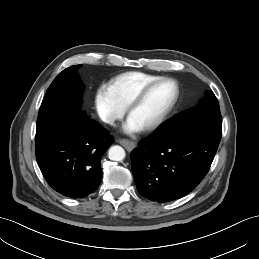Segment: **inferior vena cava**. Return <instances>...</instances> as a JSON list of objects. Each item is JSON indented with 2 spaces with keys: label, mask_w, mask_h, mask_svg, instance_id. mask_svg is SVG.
<instances>
[{
  "label": "inferior vena cava",
  "mask_w": 259,
  "mask_h": 259,
  "mask_svg": "<svg viewBox=\"0 0 259 259\" xmlns=\"http://www.w3.org/2000/svg\"><path fill=\"white\" fill-rule=\"evenodd\" d=\"M108 123L111 124V125H113V124H114V119H109V120H108Z\"/></svg>",
  "instance_id": "602c4592"
}]
</instances>
